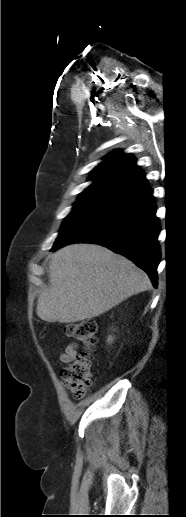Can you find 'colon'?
<instances>
[{
	"label": "colon",
	"mask_w": 186,
	"mask_h": 517,
	"mask_svg": "<svg viewBox=\"0 0 186 517\" xmlns=\"http://www.w3.org/2000/svg\"><path fill=\"white\" fill-rule=\"evenodd\" d=\"M97 323L94 320L70 322L65 326L67 336L78 340L85 348L60 371L65 388L74 398L82 399L92 386V356L96 343Z\"/></svg>",
	"instance_id": "colon-1"
}]
</instances>
